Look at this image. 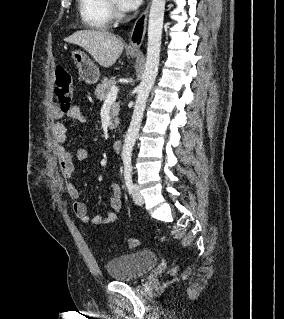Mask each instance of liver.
Listing matches in <instances>:
<instances>
[{
	"mask_svg": "<svg viewBox=\"0 0 284 319\" xmlns=\"http://www.w3.org/2000/svg\"><path fill=\"white\" fill-rule=\"evenodd\" d=\"M85 49L102 67H111L121 55L124 44L121 38L107 30H80L65 39Z\"/></svg>",
	"mask_w": 284,
	"mask_h": 319,
	"instance_id": "1",
	"label": "liver"
}]
</instances>
